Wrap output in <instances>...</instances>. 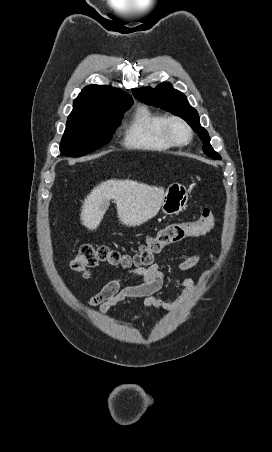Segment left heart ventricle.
<instances>
[{
	"label": "left heart ventricle",
	"mask_w": 272,
	"mask_h": 452,
	"mask_svg": "<svg viewBox=\"0 0 272 452\" xmlns=\"http://www.w3.org/2000/svg\"><path fill=\"white\" fill-rule=\"evenodd\" d=\"M173 134L177 140H184L186 138V132L184 128L179 124H174L172 128Z\"/></svg>",
	"instance_id": "b2bd125f"
}]
</instances>
